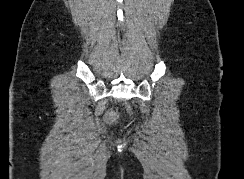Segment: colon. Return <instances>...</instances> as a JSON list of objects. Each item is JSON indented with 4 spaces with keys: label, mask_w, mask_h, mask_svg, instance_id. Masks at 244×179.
<instances>
[{
    "label": "colon",
    "mask_w": 244,
    "mask_h": 179,
    "mask_svg": "<svg viewBox=\"0 0 244 179\" xmlns=\"http://www.w3.org/2000/svg\"><path fill=\"white\" fill-rule=\"evenodd\" d=\"M129 112H131L132 115H135L136 114V107H129Z\"/></svg>",
    "instance_id": "1"
}]
</instances>
